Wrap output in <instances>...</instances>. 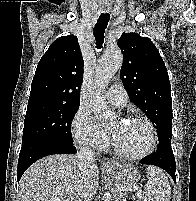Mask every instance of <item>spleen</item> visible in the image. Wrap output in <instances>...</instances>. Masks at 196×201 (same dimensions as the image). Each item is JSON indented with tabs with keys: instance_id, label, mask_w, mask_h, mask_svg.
I'll list each match as a JSON object with an SVG mask.
<instances>
[{
	"instance_id": "1",
	"label": "spleen",
	"mask_w": 196,
	"mask_h": 201,
	"mask_svg": "<svg viewBox=\"0 0 196 201\" xmlns=\"http://www.w3.org/2000/svg\"><path fill=\"white\" fill-rule=\"evenodd\" d=\"M148 182L144 189L143 201H169L171 188L164 172L155 167L147 169Z\"/></svg>"
}]
</instances>
